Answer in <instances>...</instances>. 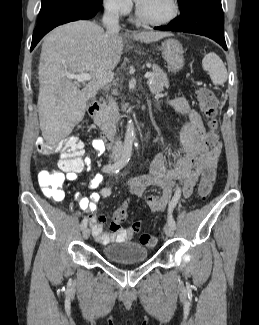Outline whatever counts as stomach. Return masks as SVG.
Masks as SVG:
<instances>
[{
	"mask_svg": "<svg viewBox=\"0 0 259 325\" xmlns=\"http://www.w3.org/2000/svg\"><path fill=\"white\" fill-rule=\"evenodd\" d=\"M160 50L162 56L167 62L168 69L172 72L181 70L184 66V56L182 44L176 39L165 40Z\"/></svg>",
	"mask_w": 259,
	"mask_h": 325,
	"instance_id": "0dacf381",
	"label": "stomach"
}]
</instances>
